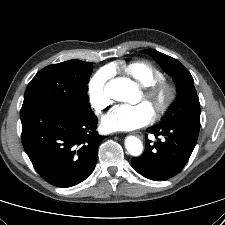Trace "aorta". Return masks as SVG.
Returning a JSON list of instances; mask_svg holds the SVG:
<instances>
[{"label": "aorta", "instance_id": "1", "mask_svg": "<svg viewBox=\"0 0 225 225\" xmlns=\"http://www.w3.org/2000/svg\"><path fill=\"white\" fill-rule=\"evenodd\" d=\"M136 90V84L125 77L111 79L105 86V91L109 97L123 102H129ZM125 148L130 155L135 157L140 156L143 152V144L135 136L126 137Z\"/></svg>", "mask_w": 225, "mask_h": 225}]
</instances>
